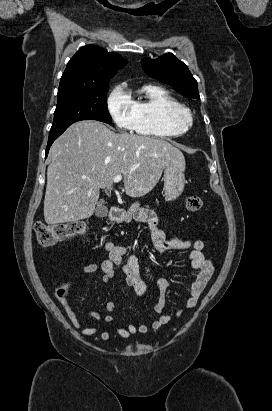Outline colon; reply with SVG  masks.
Returning <instances> with one entry per match:
<instances>
[{
  "mask_svg": "<svg viewBox=\"0 0 272 411\" xmlns=\"http://www.w3.org/2000/svg\"><path fill=\"white\" fill-rule=\"evenodd\" d=\"M202 205L203 202L199 196L192 195L186 199V209L190 212L199 211ZM87 230L88 227L83 221H72L54 225L38 221L34 227L36 240L42 247H51L66 238L83 235ZM69 293L70 287L67 283H60L57 286L56 294L60 299H67Z\"/></svg>",
  "mask_w": 272,
  "mask_h": 411,
  "instance_id": "1",
  "label": "colon"
}]
</instances>
